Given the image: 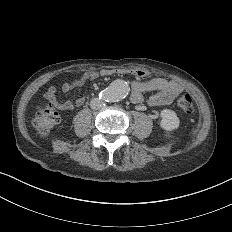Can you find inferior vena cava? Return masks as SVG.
<instances>
[{
  "mask_svg": "<svg viewBox=\"0 0 232 232\" xmlns=\"http://www.w3.org/2000/svg\"><path fill=\"white\" fill-rule=\"evenodd\" d=\"M89 107L93 111H100L104 107V102H100L97 98H93L89 102Z\"/></svg>",
  "mask_w": 232,
  "mask_h": 232,
  "instance_id": "602c4592",
  "label": "inferior vena cava"
}]
</instances>
